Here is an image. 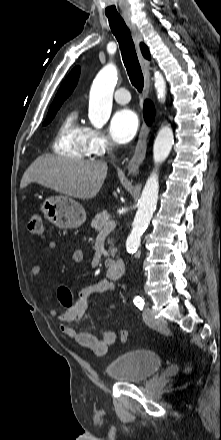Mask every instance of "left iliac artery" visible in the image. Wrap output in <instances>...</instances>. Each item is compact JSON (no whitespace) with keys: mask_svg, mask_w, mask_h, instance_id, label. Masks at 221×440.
<instances>
[{"mask_svg":"<svg viewBox=\"0 0 221 440\" xmlns=\"http://www.w3.org/2000/svg\"><path fill=\"white\" fill-rule=\"evenodd\" d=\"M133 301H134V304H135L140 310L143 309L145 303H144V300H143L140 296H136V297H134V300H133Z\"/></svg>","mask_w":221,"mask_h":440,"instance_id":"44dca946","label":"left iliac artery"}]
</instances>
